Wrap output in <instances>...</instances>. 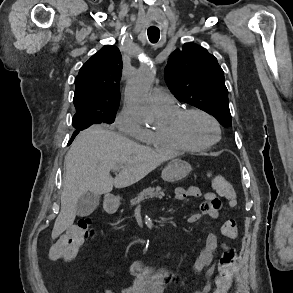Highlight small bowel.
Listing matches in <instances>:
<instances>
[{"label": "small bowel", "instance_id": "obj_1", "mask_svg": "<svg viewBox=\"0 0 293 293\" xmlns=\"http://www.w3.org/2000/svg\"><path fill=\"white\" fill-rule=\"evenodd\" d=\"M175 199L184 201L188 198H203L200 204V212L191 214L187 218L188 223L197 222L202 215L212 219L220 216L221 201L213 191L202 192L199 187H179L174 191ZM219 241L215 231L208 233L204 247L194 262V270L202 272L205 270L206 279L200 290L194 293H210L212 289V277L215 267L212 265L215 251L219 248ZM225 249V245H221ZM130 274L134 278V284L129 287H121L118 291L109 288L102 289L101 293H166L174 279V273L168 269H153L145 267L141 262L135 261L130 267Z\"/></svg>", "mask_w": 293, "mask_h": 293}]
</instances>
